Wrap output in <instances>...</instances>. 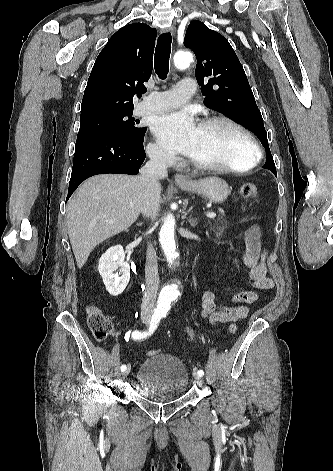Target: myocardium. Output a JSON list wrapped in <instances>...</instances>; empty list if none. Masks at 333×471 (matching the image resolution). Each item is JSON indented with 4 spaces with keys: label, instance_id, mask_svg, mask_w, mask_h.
Returning <instances> with one entry per match:
<instances>
[{
    "label": "myocardium",
    "instance_id": "myocardium-1",
    "mask_svg": "<svg viewBox=\"0 0 333 471\" xmlns=\"http://www.w3.org/2000/svg\"><path fill=\"white\" fill-rule=\"evenodd\" d=\"M217 123H223V124H227L233 127L247 139L253 151V157L251 161L243 167H234V166L223 165V164L203 163L190 157L189 161L191 165L203 171L227 172V173H246L254 169L261 160V149L257 140L253 136V134L241 123L227 116H212V117L205 118L200 122L199 127H206V126L217 124Z\"/></svg>",
    "mask_w": 333,
    "mask_h": 471
}]
</instances>
